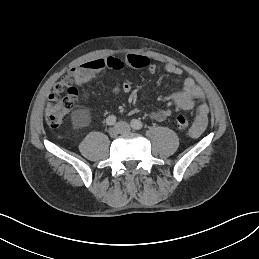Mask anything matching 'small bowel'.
<instances>
[{
	"mask_svg": "<svg viewBox=\"0 0 259 259\" xmlns=\"http://www.w3.org/2000/svg\"><path fill=\"white\" fill-rule=\"evenodd\" d=\"M125 67L141 69L145 68L150 73H155L157 67L149 61V58L139 54H128L123 58L109 56L106 58H99L88 61L79 67L73 68L70 71V76L74 79L76 84H83L95 79L98 75L120 70ZM164 70L167 74L180 76L183 71L180 67L174 64H166ZM132 86L128 82L117 84L112 89L113 94L130 93ZM172 102L181 110L189 111L195 107L196 101L199 105L196 108V116L194 118L190 134L192 137H199L207 127L209 107L205 102V94L203 90L195 83V81L187 77L183 81L182 89L174 92L171 95ZM138 112L134 110L133 113ZM170 115L169 109L155 111L151 114L154 120L162 121Z\"/></svg>",
	"mask_w": 259,
	"mask_h": 259,
	"instance_id": "c3829d8e",
	"label": "small bowel"
}]
</instances>
